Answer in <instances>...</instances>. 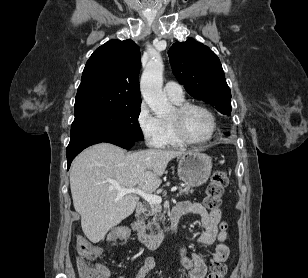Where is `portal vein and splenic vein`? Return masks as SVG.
<instances>
[{"label": "portal vein and splenic vein", "mask_w": 308, "mask_h": 278, "mask_svg": "<svg viewBox=\"0 0 308 278\" xmlns=\"http://www.w3.org/2000/svg\"><path fill=\"white\" fill-rule=\"evenodd\" d=\"M118 189V194L117 197L121 198L126 194L129 193H135L140 195L143 199H145L149 203H157L160 204L162 202V198L159 195H154L152 193L145 192L141 189H136V188H121L117 187ZM177 190V187H172L171 192H175Z\"/></svg>", "instance_id": "obj_1"}]
</instances>
